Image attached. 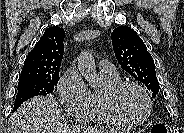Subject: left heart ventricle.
I'll return each mask as SVG.
<instances>
[{
  "label": "left heart ventricle",
  "instance_id": "obj_1",
  "mask_svg": "<svg viewBox=\"0 0 184 133\" xmlns=\"http://www.w3.org/2000/svg\"><path fill=\"white\" fill-rule=\"evenodd\" d=\"M117 107L126 118L139 119L147 109L146 101L142 93L136 88L125 89L118 97Z\"/></svg>",
  "mask_w": 184,
  "mask_h": 133
}]
</instances>
